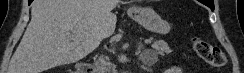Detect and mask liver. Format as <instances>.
Instances as JSON below:
<instances>
[{
  "instance_id": "obj_1",
  "label": "liver",
  "mask_w": 244,
  "mask_h": 73,
  "mask_svg": "<svg viewBox=\"0 0 244 73\" xmlns=\"http://www.w3.org/2000/svg\"><path fill=\"white\" fill-rule=\"evenodd\" d=\"M118 2L34 0L31 21L11 58L8 73H42L83 59L114 33L117 18L111 11Z\"/></svg>"
}]
</instances>
